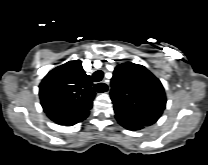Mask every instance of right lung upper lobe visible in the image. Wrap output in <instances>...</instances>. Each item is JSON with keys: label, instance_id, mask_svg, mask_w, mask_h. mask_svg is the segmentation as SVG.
Masks as SVG:
<instances>
[{"label": "right lung upper lobe", "instance_id": "1", "mask_svg": "<svg viewBox=\"0 0 208 165\" xmlns=\"http://www.w3.org/2000/svg\"><path fill=\"white\" fill-rule=\"evenodd\" d=\"M91 86L80 60L54 68L39 85L44 112L56 124L64 126L86 119L96 94Z\"/></svg>", "mask_w": 208, "mask_h": 165}]
</instances>
